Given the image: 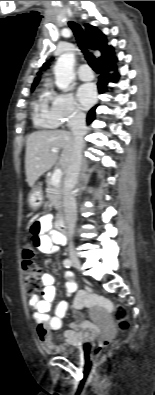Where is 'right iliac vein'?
Wrapping results in <instances>:
<instances>
[{
  "label": "right iliac vein",
  "mask_w": 155,
  "mask_h": 395,
  "mask_svg": "<svg viewBox=\"0 0 155 395\" xmlns=\"http://www.w3.org/2000/svg\"><path fill=\"white\" fill-rule=\"evenodd\" d=\"M71 262H72V264H73L76 268L80 269V267H81V262H80V260H79L76 256H72V257H71Z\"/></svg>",
  "instance_id": "1"
}]
</instances>
